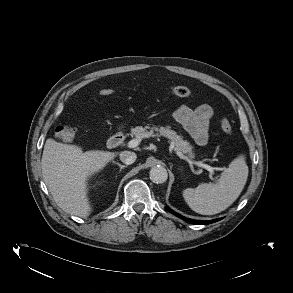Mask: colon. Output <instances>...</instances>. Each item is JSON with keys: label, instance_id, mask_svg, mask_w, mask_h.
<instances>
[{"label": "colon", "instance_id": "colon-1", "mask_svg": "<svg viewBox=\"0 0 293 293\" xmlns=\"http://www.w3.org/2000/svg\"><path fill=\"white\" fill-rule=\"evenodd\" d=\"M113 93L114 91L112 89H103L100 91V94L103 96H108ZM171 93L177 97H188L191 95V90L185 86H174L171 88ZM220 125L224 133L228 135L232 134V125L226 117L221 118ZM55 134L60 141L67 143L74 139L76 130L70 125L63 124L56 128Z\"/></svg>", "mask_w": 293, "mask_h": 293}]
</instances>
